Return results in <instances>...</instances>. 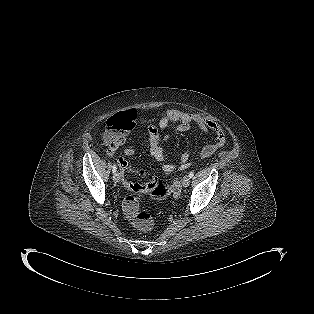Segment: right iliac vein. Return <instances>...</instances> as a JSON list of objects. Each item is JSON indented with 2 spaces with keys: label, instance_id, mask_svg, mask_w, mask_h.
Segmentation results:
<instances>
[{
  "label": "right iliac vein",
  "instance_id": "63e3f726",
  "mask_svg": "<svg viewBox=\"0 0 314 314\" xmlns=\"http://www.w3.org/2000/svg\"><path fill=\"white\" fill-rule=\"evenodd\" d=\"M114 182L118 183L121 180V175L119 172H115L113 175Z\"/></svg>",
  "mask_w": 314,
  "mask_h": 314
}]
</instances>
